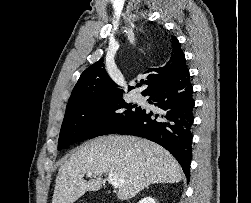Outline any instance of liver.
<instances>
[{
  "label": "liver",
  "instance_id": "liver-1",
  "mask_svg": "<svg viewBox=\"0 0 251 203\" xmlns=\"http://www.w3.org/2000/svg\"><path fill=\"white\" fill-rule=\"evenodd\" d=\"M94 178L86 181L84 175ZM113 172L124 182L117 196L128 200L155 183H177L183 178L176 159L164 148L134 136L109 135L79 148L60 167L52 203H74L89 191L102 187V175Z\"/></svg>",
  "mask_w": 251,
  "mask_h": 203
}]
</instances>
